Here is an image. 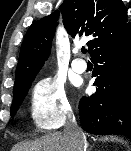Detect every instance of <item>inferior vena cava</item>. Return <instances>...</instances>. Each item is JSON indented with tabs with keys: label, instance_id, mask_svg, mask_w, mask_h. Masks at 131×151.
<instances>
[{
	"label": "inferior vena cava",
	"instance_id": "obj_1",
	"mask_svg": "<svg viewBox=\"0 0 131 151\" xmlns=\"http://www.w3.org/2000/svg\"><path fill=\"white\" fill-rule=\"evenodd\" d=\"M64 134L68 136L76 151H86L87 141L86 136L82 130L78 127L76 119L73 114H69L66 124Z\"/></svg>",
	"mask_w": 131,
	"mask_h": 151
}]
</instances>
